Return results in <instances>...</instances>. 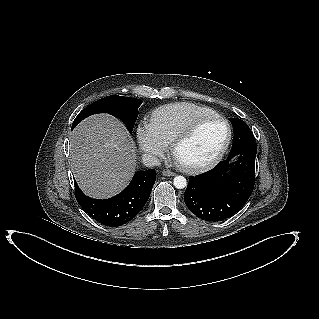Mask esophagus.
Instances as JSON below:
<instances>
[{
  "label": "esophagus",
  "mask_w": 319,
  "mask_h": 319,
  "mask_svg": "<svg viewBox=\"0 0 319 319\" xmlns=\"http://www.w3.org/2000/svg\"><path fill=\"white\" fill-rule=\"evenodd\" d=\"M162 174H163L164 176H168V177H172V176H175V175H176L174 172H172V171H170V170H163V171H162Z\"/></svg>",
  "instance_id": "34e87169"
}]
</instances>
